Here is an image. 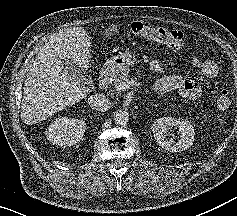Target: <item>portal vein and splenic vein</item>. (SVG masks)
I'll return each instance as SVG.
<instances>
[{
  "instance_id": "18ae733b",
  "label": "portal vein and splenic vein",
  "mask_w": 237,
  "mask_h": 216,
  "mask_svg": "<svg viewBox=\"0 0 237 216\" xmlns=\"http://www.w3.org/2000/svg\"><path fill=\"white\" fill-rule=\"evenodd\" d=\"M130 83H131L132 86L134 85L131 81L130 82H128V81L120 82L119 81L118 83L115 84V89L117 91H122V90L128 89V88L131 87Z\"/></svg>"
}]
</instances>
